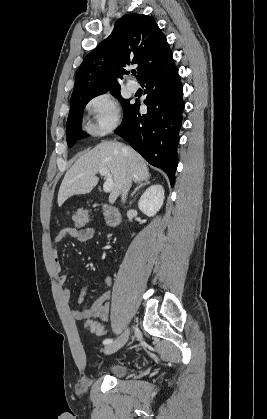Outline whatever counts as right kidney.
I'll use <instances>...</instances> for the list:
<instances>
[{"label": "right kidney", "instance_id": "1", "mask_svg": "<svg viewBox=\"0 0 267 419\" xmlns=\"http://www.w3.org/2000/svg\"><path fill=\"white\" fill-rule=\"evenodd\" d=\"M163 201L164 189L162 185H152L140 197L138 208L145 215L153 217L161 209Z\"/></svg>", "mask_w": 267, "mask_h": 419}]
</instances>
